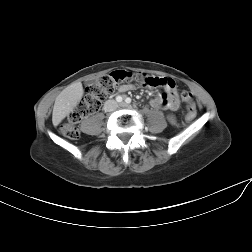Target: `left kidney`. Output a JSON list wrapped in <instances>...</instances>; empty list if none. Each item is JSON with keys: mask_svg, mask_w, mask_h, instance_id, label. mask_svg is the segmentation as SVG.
<instances>
[{"mask_svg": "<svg viewBox=\"0 0 252 252\" xmlns=\"http://www.w3.org/2000/svg\"><path fill=\"white\" fill-rule=\"evenodd\" d=\"M168 119H169V121H170L171 123H174V122H175V117H174V116H169Z\"/></svg>", "mask_w": 252, "mask_h": 252, "instance_id": "1", "label": "left kidney"}]
</instances>
